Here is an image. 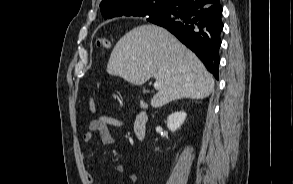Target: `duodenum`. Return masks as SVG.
<instances>
[{"instance_id": "obj_1", "label": "duodenum", "mask_w": 293, "mask_h": 184, "mask_svg": "<svg viewBox=\"0 0 293 184\" xmlns=\"http://www.w3.org/2000/svg\"><path fill=\"white\" fill-rule=\"evenodd\" d=\"M142 110H140L133 120V132L137 139H144L147 132V125L149 121V114L146 110V104L141 103Z\"/></svg>"}]
</instances>
